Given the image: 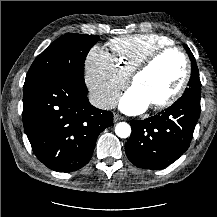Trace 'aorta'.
Here are the masks:
<instances>
[{
  "label": "aorta",
  "instance_id": "aorta-1",
  "mask_svg": "<svg viewBox=\"0 0 217 217\" xmlns=\"http://www.w3.org/2000/svg\"><path fill=\"white\" fill-rule=\"evenodd\" d=\"M115 133L120 138H127L131 134V127L126 122H120L115 126Z\"/></svg>",
  "mask_w": 217,
  "mask_h": 217
}]
</instances>
